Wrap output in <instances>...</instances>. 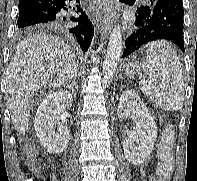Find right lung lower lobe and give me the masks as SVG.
<instances>
[{"mask_svg": "<svg viewBox=\"0 0 197 181\" xmlns=\"http://www.w3.org/2000/svg\"><path fill=\"white\" fill-rule=\"evenodd\" d=\"M79 3L80 0H20L17 26L19 29L36 27L63 31L85 52L91 43L94 28ZM70 9L79 16L67 15L65 11Z\"/></svg>", "mask_w": 197, "mask_h": 181, "instance_id": "98d812e1", "label": "right lung lower lobe"}]
</instances>
